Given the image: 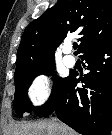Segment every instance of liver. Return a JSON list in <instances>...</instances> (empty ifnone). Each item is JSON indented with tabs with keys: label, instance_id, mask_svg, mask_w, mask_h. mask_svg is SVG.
<instances>
[{
	"label": "liver",
	"instance_id": "1",
	"mask_svg": "<svg viewBox=\"0 0 112 135\" xmlns=\"http://www.w3.org/2000/svg\"><path fill=\"white\" fill-rule=\"evenodd\" d=\"M11 133L12 135H76L71 128L56 119L14 126Z\"/></svg>",
	"mask_w": 112,
	"mask_h": 135
}]
</instances>
